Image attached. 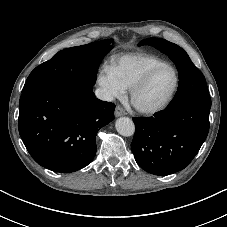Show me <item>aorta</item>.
<instances>
[{
	"label": "aorta",
	"mask_w": 227,
	"mask_h": 227,
	"mask_svg": "<svg viewBox=\"0 0 227 227\" xmlns=\"http://www.w3.org/2000/svg\"><path fill=\"white\" fill-rule=\"evenodd\" d=\"M115 127L117 132L122 136H132L135 131L133 121L128 117H120L116 120Z\"/></svg>",
	"instance_id": "aorta-1"
}]
</instances>
